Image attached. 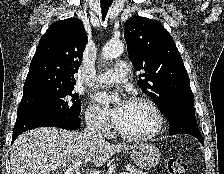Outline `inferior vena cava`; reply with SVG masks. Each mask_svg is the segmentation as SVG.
Wrapping results in <instances>:
<instances>
[{"mask_svg": "<svg viewBox=\"0 0 224 174\" xmlns=\"http://www.w3.org/2000/svg\"><path fill=\"white\" fill-rule=\"evenodd\" d=\"M84 134L96 143H104L105 140L101 134V122L98 119H89L86 123Z\"/></svg>", "mask_w": 224, "mask_h": 174, "instance_id": "1", "label": "inferior vena cava"}]
</instances>
